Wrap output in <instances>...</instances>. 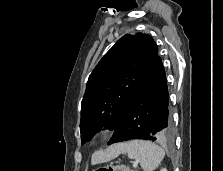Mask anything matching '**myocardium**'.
Segmentation results:
<instances>
[{"label":"myocardium","mask_w":223,"mask_h":171,"mask_svg":"<svg viewBox=\"0 0 223 171\" xmlns=\"http://www.w3.org/2000/svg\"><path fill=\"white\" fill-rule=\"evenodd\" d=\"M108 134V131L106 128H99L97 130L94 131L93 136L95 139L101 140L103 138H105Z\"/></svg>","instance_id":"myocardium-1"}]
</instances>
